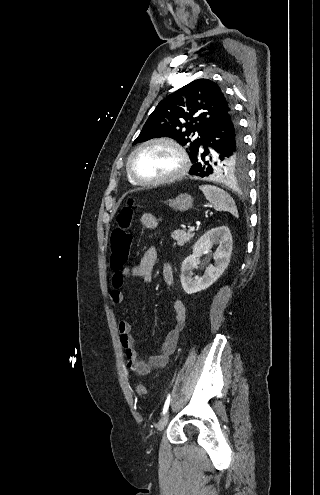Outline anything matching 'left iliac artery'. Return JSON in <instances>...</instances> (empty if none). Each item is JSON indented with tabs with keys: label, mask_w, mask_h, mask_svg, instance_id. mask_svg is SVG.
Wrapping results in <instances>:
<instances>
[{
	"label": "left iliac artery",
	"mask_w": 320,
	"mask_h": 495,
	"mask_svg": "<svg viewBox=\"0 0 320 495\" xmlns=\"http://www.w3.org/2000/svg\"><path fill=\"white\" fill-rule=\"evenodd\" d=\"M170 400H171V396L168 395L166 401H165V404H164V407H163V412L162 414H165L168 410V407H169V404H170Z\"/></svg>",
	"instance_id": "obj_1"
}]
</instances>
